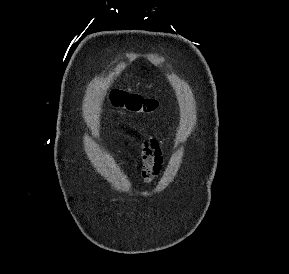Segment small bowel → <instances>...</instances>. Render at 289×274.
Instances as JSON below:
<instances>
[{
    "label": "small bowel",
    "mask_w": 289,
    "mask_h": 274,
    "mask_svg": "<svg viewBox=\"0 0 289 274\" xmlns=\"http://www.w3.org/2000/svg\"><path fill=\"white\" fill-rule=\"evenodd\" d=\"M141 176L145 183H151L159 177L164 165V155L160 140L150 135L140 142ZM137 162H135V166Z\"/></svg>",
    "instance_id": "small-bowel-1"
}]
</instances>
